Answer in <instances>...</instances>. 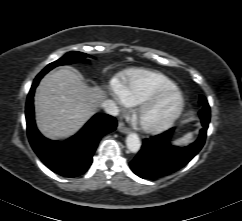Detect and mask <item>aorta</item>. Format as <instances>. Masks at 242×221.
<instances>
[{"instance_id": "obj_1", "label": "aorta", "mask_w": 242, "mask_h": 221, "mask_svg": "<svg viewBox=\"0 0 242 221\" xmlns=\"http://www.w3.org/2000/svg\"><path fill=\"white\" fill-rule=\"evenodd\" d=\"M126 145L130 152L137 153L141 147V141L138 135L130 133L126 138Z\"/></svg>"}]
</instances>
